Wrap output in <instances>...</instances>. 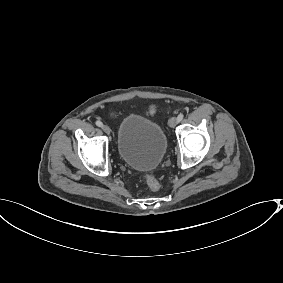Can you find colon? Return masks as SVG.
Returning a JSON list of instances; mask_svg holds the SVG:
<instances>
[{
  "instance_id": "colon-1",
  "label": "colon",
  "mask_w": 283,
  "mask_h": 283,
  "mask_svg": "<svg viewBox=\"0 0 283 283\" xmlns=\"http://www.w3.org/2000/svg\"><path fill=\"white\" fill-rule=\"evenodd\" d=\"M151 111L153 112L154 108H151ZM144 179H145V181L148 185V188L151 191H157L159 189L160 184H159L158 180L153 175H151V174L145 175Z\"/></svg>"
}]
</instances>
